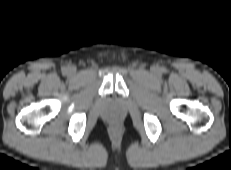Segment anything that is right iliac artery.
I'll return each mask as SVG.
<instances>
[{
	"label": "right iliac artery",
	"instance_id": "82829eb1",
	"mask_svg": "<svg viewBox=\"0 0 231 170\" xmlns=\"http://www.w3.org/2000/svg\"><path fill=\"white\" fill-rule=\"evenodd\" d=\"M62 71H63V72H67V68L64 67V68L62 69Z\"/></svg>",
	"mask_w": 231,
	"mask_h": 170
}]
</instances>
